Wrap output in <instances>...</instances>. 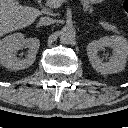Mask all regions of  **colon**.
Here are the masks:
<instances>
[{
  "label": "colon",
  "instance_id": "5ec220e1",
  "mask_svg": "<svg viewBox=\"0 0 128 128\" xmlns=\"http://www.w3.org/2000/svg\"><path fill=\"white\" fill-rule=\"evenodd\" d=\"M123 9L128 16V0H125V2L123 3Z\"/></svg>",
  "mask_w": 128,
  "mask_h": 128
}]
</instances>
